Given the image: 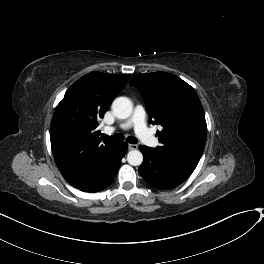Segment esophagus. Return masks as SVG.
<instances>
[{"label":"esophagus","mask_w":264,"mask_h":264,"mask_svg":"<svg viewBox=\"0 0 264 264\" xmlns=\"http://www.w3.org/2000/svg\"><path fill=\"white\" fill-rule=\"evenodd\" d=\"M128 147H129V150H136V149H138V145L137 144H129Z\"/></svg>","instance_id":"esophagus-1"}]
</instances>
